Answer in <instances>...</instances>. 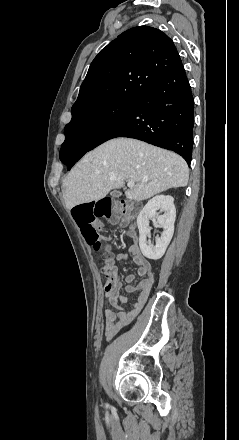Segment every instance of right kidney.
I'll list each match as a JSON object with an SVG mask.
<instances>
[{"label":"right kidney","mask_w":239,"mask_h":440,"mask_svg":"<svg viewBox=\"0 0 239 440\" xmlns=\"http://www.w3.org/2000/svg\"><path fill=\"white\" fill-rule=\"evenodd\" d=\"M157 210L164 212L163 216H159ZM152 218H157L160 228H163L160 238H156L157 244H152L151 240L147 239L150 238L149 220ZM175 218L176 210L172 196H155L147 202L137 218L139 244H142L144 257H152L158 261L161 258L160 253H164L165 248H170Z\"/></svg>","instance_id":"ca27d5eb"}]
</instances>
